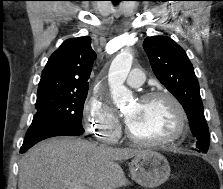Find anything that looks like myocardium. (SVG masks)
Instances as JSON below:
<instances>
[{
  "label": "myocardium",
  "mask_w": 223,
  "mask_h": 189,
  "mask_svg": "<svg viewBox=\"0 0 223 189\" xmlns=\"http://www.w3.org/2000/svg\"><path fill=\"white\" fill-rule=\"evenodd\" d=\"M164 98L167 99L171 105L174 107L176 116H177V126L176 129L168 136L160 138H144L137 136L129 127L126 126V135L127 137L135 143L144 144V145H164L177 141L182 136H184L187 124L188 117L186 110L180 100L171 92L165 90H154L142 94L139 98L140 102H146L152 99Z\"/></svg>",
  "instance_id": "obj_1"
}]
</instances>
